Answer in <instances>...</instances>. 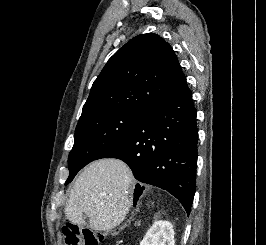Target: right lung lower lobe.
<instances>
[{"mask_svg":"<svg viewBox=\"0 0 266 245\" xmlns=\"http://www.w3.org/2000/svg\"><path fill=\"white\" fill-rule=\"evenodd\" d=\"M198 129L188 85L147 110L133 129L96 159L117 158L135 178L176 197L189 215L195 190Z\"/></svg>","mask_w":266,"mask_h":245,"instance_id":"obj_1","label":"right lung lower lobe"}]
</instances>
